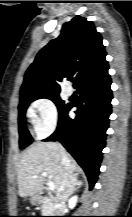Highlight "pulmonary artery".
Returning <instances> with one entry per match:
<instances>
[{
    "mask_svg": "<svg viewBox=\"0 0 132 217\" xmlns=\"http://www.w3.org/2000/svg\"><path fill=\"white\" fill-rule=\"evenodd\" d=\"M66 93H67L68 96L72 95L73 89H72L71 86L68 85V86L66 87Z\"/></svg>",
    "mask_w": 132,
    "mask_h": 217,
    "instance_id": "pulmonary-artery-1",
    "label": "pulmonary artery"
}]
</instances>
